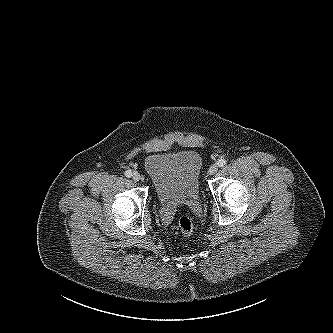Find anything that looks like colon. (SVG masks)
Wrapping results in <instances>:
<instances>
[{
  "label": "colon",
  "mask_w": 333,
  "mask_h": 333,
  "mask_svg": "<svg viewBox=\"0 0 333 333\" xmlns=\"http://www.w3.org/2000/svg\"><path fill=\"white\" fill-rule=\"evenodd\" d=\"M178 228L184 236H189L194 231L193 220L189 216H182L178 221Z\"/></svg>",
  "instance_id": "obj_1"
}]
</instances>
